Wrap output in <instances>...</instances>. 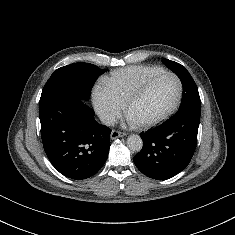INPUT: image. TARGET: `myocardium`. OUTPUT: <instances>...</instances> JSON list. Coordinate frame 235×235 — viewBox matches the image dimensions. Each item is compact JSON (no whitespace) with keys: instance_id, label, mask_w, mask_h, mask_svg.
Here are the masks:
<instances>
[{"instance_id":"obj_1","label":"myocardium","mask_w":235,"mask_h":235,"mask_svg":"<svg viewBox=\"0 0 235 235\" xmlns=\"http://www.w3.org/2000/svg\"><path fill=\"white\" fill-rule=\"evenodd\" d=\"M172 77L176 82H177V86H178V91H177V95L176 98L173 102V104L170 106V108L163 113L161 116L147 121V122H142V123H137L139 127L141 128H152L155 127L161 123H163L164 121H166L168 118H170L178 109L181 100H182V96H183V83L181 81V79L179 78L178 75H176L173 72L170 71H163L160 73H157L153 76H151L150 78H148L127 100L126 104H125V109L126 112L129 113L131 107L138 101L140 100L149 90V88L152 86V84L158 80L161 77Z\"/></svg>"}]
</instances>
